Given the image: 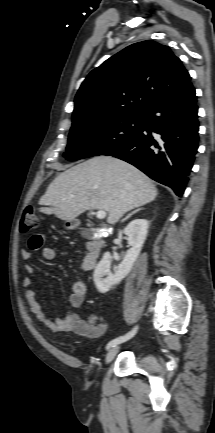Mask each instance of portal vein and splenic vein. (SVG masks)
Wrapping results in <instances>:
<instances>
[{"instance_id": "obj_1", "label": "portal vein and splenic vein", "mask_w": 215, "mask_h": 433, "mask_svg": "<svg viewBox=\"0 0 215 433\" xmlns=\"http://www.w3.org/2000/svg\"><path fill=\"white\" fill-rule=\"evenodd\" d=\"M106 215H107V213L105 211H102V210H100L96 213V217L98 219H104L106 217Z\"/></svg>"}]
</instances>
